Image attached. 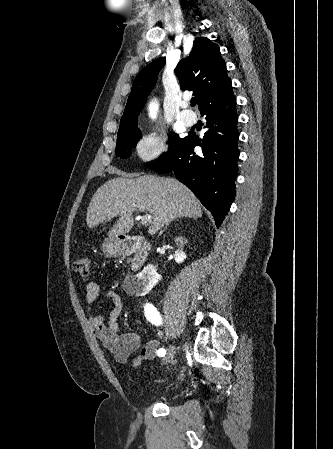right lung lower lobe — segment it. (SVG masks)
Returning a JSON list of instances; mask_svg holds the SVG:
<instances>
[{
    "mask_svg": "<svg viewBox=\"0 0 333 449\" xmlns=\"http://www.w3.org/2000/svg\"><path fill=\"white\" fill-rule=\"evenodd\" d=\"M200 112L207 121L204 137L189 134L170 157L152 169L161 174L173 172L212 213L219 228L235 197L238 170V115L232 89L207 102ZM195 146L202 148L201 154L194 152Z\"/></svg>",
    "mask_w": 333,
    "mask_h": 449,
    "instance_id": "right-lung-lower-lobe-1",
    "label": "right lung lower lobe"
}]
</instances>
